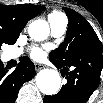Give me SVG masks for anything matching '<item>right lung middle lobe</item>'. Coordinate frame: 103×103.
<instances>
[{"mask_svg":"<svg viewBox=\"0 0 103 103\" xmlns=\"http://www.w3.org/2000/svg\"><path fill=\"white\" fill-rule=\"evenodd\" d=\"M17 40H9L0 35V47L2 44H14Z\"/></svg>","mask_w":103,"mask_h":103,"instance_id":"obj_1","label":"right lung middle lobe"}]
</instances>
